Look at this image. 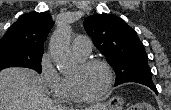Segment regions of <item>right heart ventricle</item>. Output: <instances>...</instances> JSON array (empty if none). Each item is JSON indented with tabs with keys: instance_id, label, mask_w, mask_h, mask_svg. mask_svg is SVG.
Here are the masks:
<instances>
[{
	"instance_id": "1",
	"label": "right heart ventricle",
	"mask_w": 171,
	"mask_h": 110,
	"mask_svg": "<svg viewBox=\"0 0 171 110\" xmlns=\"http://www.w3.org/2000/svg\"><path fill=\"white\" fill-rule=\"evenodd\" d=\"M77 58L80 60L83 59L79 57ZM55 97L60 101H69L72 99L67 78H62L61 85L59 89L57 90V92L55 93Z\"/></svg>"
}]
</instances>
